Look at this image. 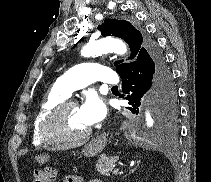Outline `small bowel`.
Wrapping results in <instances>:
<instances>
[{"instance_id":"small-bowel-1","label":"small bowel","mask_w":211,"mask_h":182,"mask_svg":"<svg viewBox=\"0 0 211 182\" xmlns=\"http://www.w3.org/2000/svg\"><path fill=\"white\" fill-rule=\"evenodd\" d=\"M64 182H84L83 179L79 176H68L66 177V179L64 180ZM92 182H101L99 180H94Z\"/></svg>"}]
</instances>
